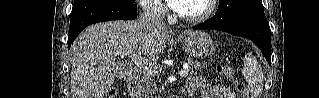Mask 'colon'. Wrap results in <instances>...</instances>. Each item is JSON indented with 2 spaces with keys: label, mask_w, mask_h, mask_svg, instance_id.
Listing matches in <instances>:
<instances>
[{
  "label": "colon",
  "mask_w": 319,
  "mask_h": 98,
  "mask_svg": "<svg viewBox=\"0 0 319 98\" xmlns=\"http://www.w3.org/2000/svg\"><path fill=\"white\" fill-rule=\"evenodd\" d=\"M217 71L223 77L231 80L234 84L235 89L243 98H251V94L249 92L248 86L244 81L237 80L235 78V73L232 68L226 65H218ZM117 90L112 87L107 91V98H114L116 96Z\"/></svg>",
  "instance_id": "colon-1"
}]
</instances>
